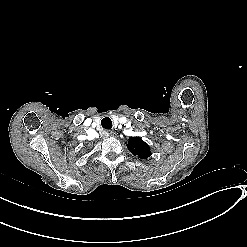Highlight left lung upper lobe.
<instances>
[{
    "mask_svg": "<svg viewBox=\"0 0 247 247\" xmlns=\"http://www.w3.org/2000/svg\"><path fill=\"white\" fill-rule=\"evenodd\" d=\"M127 148L134 156H138L141 159H147L151 156L149 145L146 142H144L141 138H129Z\"/></svg>",
    "mask_w": 247,
    "mask_h": 247,
    "instance_id": "5c2ea615",
    "label": "left lung upper lobe"
}]
</instances>
